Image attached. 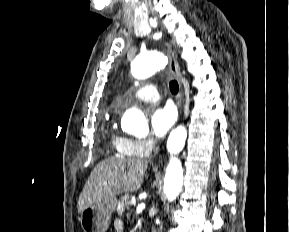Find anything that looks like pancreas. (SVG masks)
<instances>
[{
  "instance_id": "cf45deb5",
  "label": "pancreas",
  "mask_w": 289,
  "mask_h": 232,
  "mask_svg": "<svg viewBox=\"0 0 289 232\" xmlns=\"http://www.w3.org/2000/svg\"><path fill=\"white\" fill-rule=\"evenodd\" d=\"M132 195H124L120 201L117 202V213L122 215L126 209L131 205Z\"/></svg>"
}]
</instances>
